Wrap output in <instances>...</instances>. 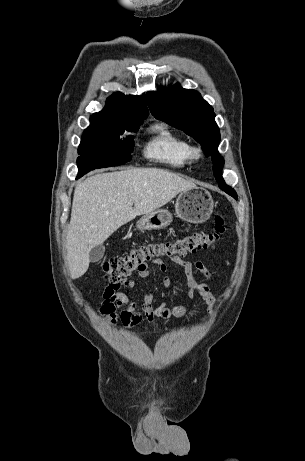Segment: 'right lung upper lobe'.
Returning <instances> with one entry per match:
<instances>
[{
  "mask_svg": "<svg viewBox=\"0 0 305 461\" xmlns=\"http://www.w3.org/2000/svg\"><path fill=\"white\" fill-rule=\"evenodd\" d=\"M148 116L145 95L142 97L117 93L111 95L104 109L90 118L120 122L143 121Z\"/></svg>",
  "mask_w": 305,
  "mask_h": 461,
  "instance_id": "right-lung-upper-lobe-1",
  "label": "right lung upper lobe"
}]
</instances>
